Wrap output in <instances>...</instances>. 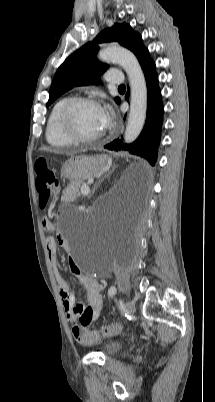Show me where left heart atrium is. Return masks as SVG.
I'll use <instances>...</instances> for the list:
<instances>
[{"label":"left heart atrium","mask_w":215,"mask_h":402,"mask_svg":"<svg viewBox=\"0 0 215 402\" xmlns=\"http://www.w3.org/2000/svg\"><path fill=\"white\" fill-rule=\"evenodd\" d=\"M101 123L104 129L108 128L112 123V115L109 109H101Z\"/></svg>","instance_id":"1"}]
</instances>
